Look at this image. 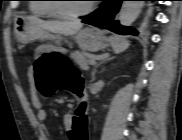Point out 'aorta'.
I'll return each instance as SVG.
<instances>
[{
	"label": "aorta",
	"instance_id": "aorta-1",
	"mask_svg": "<svg viewBox=\"0 0 182 140\" xmlns=\"http://www.w3.org/2000/svg\"><path fill=\"white\" fill-rule=\"evenodd\" d=\"M144 1H124L119 14V22L122 26H130L138 17Z\"/></svg>",
	"mask_w": 182,
	"mask_h": 140
}]
</instances>
